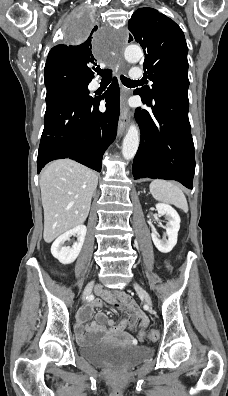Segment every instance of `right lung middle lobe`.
Here are the masks:
<instances>
[{"mask_svg":"<svg viewBox=\"0 0 228 396\" xmlns=\"http://www.w3.org/2000/svg\"><path fill=\"white\" fill-rule=\"evenodd\" d=\"M91 19L86 14H80L73 19L72 25L79 29L77 40L86 36L90 29ZM97 28L96 26L92 32ZM90 80L75 75L73 73H54L45 75V85L47 89L46 104L51 107L58 99L75 92L88 93Z\"/></svg>","mask_w":228,"mask_h":396,"instance_id":"dd1d6c3e","label":"right lung middle lobe"}]
</instances>
